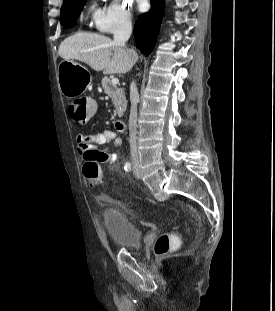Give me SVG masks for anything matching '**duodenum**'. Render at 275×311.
I'll list each match as a JSON object with an SVG mask.
<instances>
[{"label":"duodenum","instance_id":"410a0bca","mask_svg":"<svg viewBox=\"0 0 275 311\" xmlns=\"http://www.w3.org/2000/svg\"><path fill=\"white\" fill-rule=\"evenodd\" d=\"M115 127L120 132H124L126 130V124L121 120L116 121Z\"/></svg>","mask_w":275,"mask_h":311}]
</instances>
